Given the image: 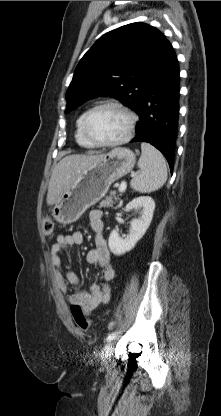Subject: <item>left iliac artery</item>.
Segmentation results:
<instances>
[{
	"label": "left iliac artery",
	"mask_w": 221,
	"mask_h": 416,
	"mask_svg": "<svg viewBox=\"0 0 221 416\" xmlns=\"http://www.w3.org/2000/svg\"><path fill=\"white\" fill-rule=\"evenodd\" d=\"M117 335V332H112L110 333L107 338H106V342H110L111 340H113Z\"/></svg>",
	"instance_id": "obj_1"
}]
</instances>
